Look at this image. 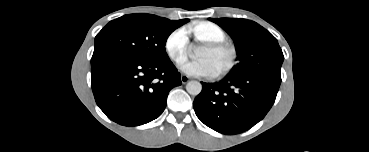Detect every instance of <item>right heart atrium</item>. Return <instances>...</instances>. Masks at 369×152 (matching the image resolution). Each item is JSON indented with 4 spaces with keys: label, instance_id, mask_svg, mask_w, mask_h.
<instances>
[{
    "label": "right heart atrium",
    "instance_id": "obj_1",
    "mask_svg": "<svg viewBox=\"0 0 369 152\" xmlns=\"http://www.w3.org/2000/svg\"><path fill=\"white\" fill-rule=\"evenodd\" d=\"M165 51L169 59L178 64L188 54V34L184 28L172 31L165 41Z\"/></svg>",
    "mask_w": 369,
    "mask_h": 152
}]
</instances>
